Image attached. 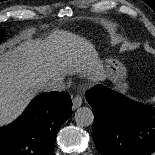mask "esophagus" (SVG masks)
Wrapping results in <instances>:
<instances>
[{"label":"esophagus","mask_w":155,"mask_h":155,"mask_svg":"<svg viewBox=\"0 0 155 155\" xmlns=\"http://www.w3.org/2000/svg\"><path fill=\"white\" fill-rule=\"evenodd\" d=\"M82 101L83 100L81 94L75 95L72 101V110H76L77 108H79L82 104Z\"/></svg>","instance_id":"obj_1"}]
</instances>
